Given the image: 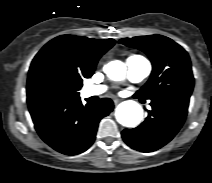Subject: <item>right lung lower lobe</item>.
<instances>
[{"mask_svg": "<svg viewBox=\"0 0 212 183\" xmlns=\"http://www.w3.org/2000/svg\"><path fill=\"white\" fill-rule=\"evenodd\" d=\"M113 102L103 98L83 105L80 97H45L28 104L39 136L56 151L76 155L94 142L99 121L113 110Z\"/></svg>", "mask_w": 212, "mask_h": 183, "instance_id": "98d812e1", "label": "right lung lower lobe"}]
</instances>
